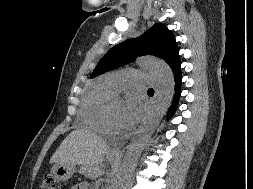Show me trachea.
<instances>
[{
  "instance_id": "3493384b",
  "label": "trachea",
  "mask_w": 253,
  "mask_h": 189,
  "mask_svg": "<svg viewBox=\"0 0 253 189\" xmlns=\"http://www.w3.org/2000/svg\"><path fill=\"white\" fill-rule=\"evenodd\" d=\"M148 91H150V92H154V89L150 88Z\"/></svg>"
}]
</instances>
